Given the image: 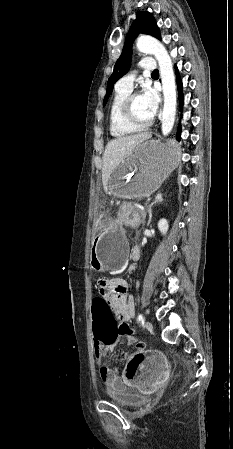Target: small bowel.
<instances>
[{"label": "small bowel", "instance_id": "small-bowel-1", "mask_svg": "<svg viewBox=\"0 0 233 449\" xmlns=\"http://www.w3.org/2000/svg\"><path fill=\"white\" fill-rule=\"evenodd\" d=\"M133 263L129 271L135 269V256H131ZM97 291H100L102 298L96 301H108L116 316L119 324L118 340L125 339L128 345L136 343L134 337L135 330L128 322L135 316V302L131 295H128V283L117 278L116 274H99ZM111 311V310H110ZM93 334V353L99 367L102 382L109 387L118 386L125 382V379L119 375L117 370L107 367L106 354L114 348L116 343H110L109 349H96ZM165 355L162 354L161 347H148L144 360V368L137 369V375H127V384H136L137 390H158V384H161V377H167L170 371V364L164 363Z\"/></svg>", "mask_w": 233, "mask_h": 449}]
</instances>
